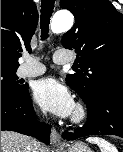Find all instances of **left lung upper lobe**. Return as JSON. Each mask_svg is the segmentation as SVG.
Here are the masks:
<instances>
[{
  "instance_id": "left-lung-upper-lobe-1",
  "label": "left lung upper lobe",
  "mask_w": 123,
  "mask_h": 152,
  "mask_svg": "<svg viewBox=\"0 0 123 152\" xmlns=\"http://www.w3.org/2000/svg\"><path fill=\"white\" fill-rule=\"evenodd\" d=\"M60 6L75 16L62 37L77 53L76 73L66 83L85 103L104 89L123 88V14L108 0H61Z\"/></svg>"
}]
</instances>
